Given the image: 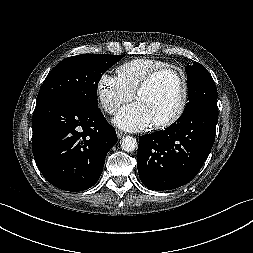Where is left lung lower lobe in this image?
I'll list each match as a JSON object with an SVG mask.
<instances>
[{
    "mask_svg": "<svg viewBox=\"0 0 253 253\" xmlns=\"http://www.w3.org/2000/svg\"><path fill=\"white\" fill-rule=\"evenodd\" d=\"M218 110L200 106L163 131L139 137L138 173L151 190H170L191 181L215 139Z\"/></svg>",
    "mask_w": 253,
    "mask_h": 253,
    "instance_id": "left-lung-lower-lobe-1",
    "label": "left lung lower lobe"
}]
</instances>
